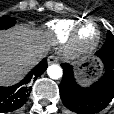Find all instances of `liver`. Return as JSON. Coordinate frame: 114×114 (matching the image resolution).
I'll return each instance as SVG.
<instances>
[{"instance_id": "6515ba94", "label": "liver", "mask_w": 114, "mask_h": 114, "mask_svg": "<svg viewBox=\"0 0 114 114\" xmlns=\"http://www.w3.org/2000/svg\"><path fill=\"white\" fill-rule=\"evenodd\" d=\"M51 34L25 26L0 31V85L19 81L49 50ZM32 55H37L32 60Z\"/></svg>"}]
</instances>
